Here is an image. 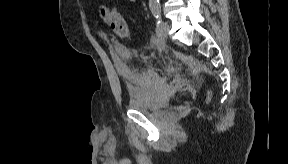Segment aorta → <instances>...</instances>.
Returning a JSON list of instances; mask_svg holds the SVG:
<instances>
[{"label":"aorta","instance_id":"1","mask_svg":"<svg viewBox=\"0 0 288 164\" xmlns=\"http://www.w3.org/2000/svg\"><path fill=\"white\" fill-rule=\"evenodd\" d=\"M149 6L151 10H154V8H159L160 4L158 0H149Z\"/></svg>","mask_w":288,"mask_h":164}]
</instances>
